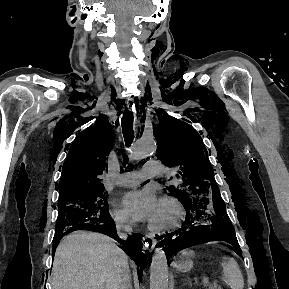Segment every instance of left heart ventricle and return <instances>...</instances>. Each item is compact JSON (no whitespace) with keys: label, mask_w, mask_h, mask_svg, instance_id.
Wrapping results in <instances>:
<instances>
[{"label":"left heart ventricle","mask_w":289,"mask_h":289,"mask_svg":"<svg viewBox=\"0 0 289 289\" xmlns=\"http://www.w3.org/2000/svg\"><path fill=\"white\" fill-rule=\"evenodd\" d=\"M173 217L174 212L172 209L166 205L160 204L154 218L151 221L157 225H161L170 221Z\"/></svg>","instance_id":"1"}]
</instances>
